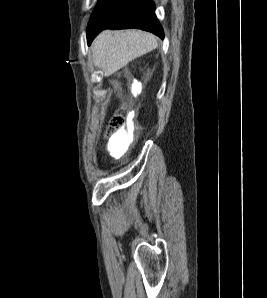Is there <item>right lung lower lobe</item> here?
Instances as JSON below:
<instances>
[{"instance_id": "98d812e1", "label": "right lung lower lobe", "mask_w": 267, "mask_h": 298, "mask_svg": "<svg viewBox=\"0 0 267 298\" xmlns=\"http://www.w3.org/2000/svg\"><path fill=\"white\" fill-rule=\"evenodd\" d=\"M106 28H139L164 38L163 29L155 15V5L150 0H109L88 24V44Z\"/></svg>"}]
</instances>
